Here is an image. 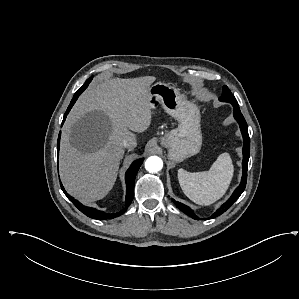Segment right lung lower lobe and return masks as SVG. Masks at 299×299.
Listing matches in <instances>:
<instances>
[{
	"label": "right lung lower lobe",
	"mask_w": 299,
	"mask_h": 299,
	"mask_svg": "<svg viewBox=\"0 0 299 299\" xmlns=\"http://www.w3.org/2000/svg\"><path fill=\"white\" fill-rule=\"evenodd\" d=\"M82 93V92H81ZM81 93H75V95L73 96V99L70 102V105L67 108L66 113L64 114L63 117V122L66 119L67 114L69 113L70 109L72 108V106L74 105V103L76 102L77 98L79 97V95ZM62 122V124H63ZM60 135H61V131L59 133V137H58V142H57V151L59 152V148H60ZM143 162V158L138 159L136 161H134L131 166L129 167V169L127 170L126 174H125V180H126V205L128 206L131 201L133 200V196H134V183H135V177L136 174L141 166ZM61 185V189L63 190V192L65 193V195L69 198V200L72 201V203L85 215H87L88 217H91L93 219H97V220H105V219H113L115 217L120 216L121 214H123L126 210H127V206L124 210L117 212V213H106L100 210H96L94 208L91 207H87L82 205L81 203H79L77 200L73 199L64 189V187Z\"/></svg>",
	"instance_id": "obj_1"
}]
</instances>
